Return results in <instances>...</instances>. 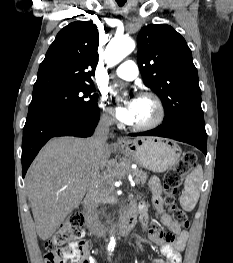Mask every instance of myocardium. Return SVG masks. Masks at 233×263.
<instances>
[{
    "label": "myocardium",
    "mask_w": 233,
    "mask_h": 263,
    "mask_svg": "<svg viewBox=\"0 0 233 263\" xmlns=\"http://www.w3.org/2000/svg\"><path fill=\"white\" fill-rule=\"evenodd\" d=\"M140 99L150 100L155 107V115L148 122L133 124L131 128L135 131H148L159 126L165 118V107L162 100L153 92H143L139 95Z\"/></svg>",
    "instance_id": "myocardium-1"
}]
</instances>
